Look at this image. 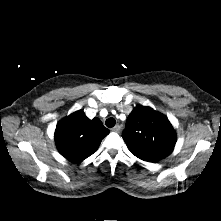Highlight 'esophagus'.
<instances>
[{"label":"esophagus","mask_w":221,"mask_h":221,"mask_svg":"<svg viewBox=\"0 0 221 221\" xmlns=\"http://www.w3.org/2000/svg\"><path fill=\"white\" fill-rule=\"evenodd\" d=\"M120 130H121V126L120 125H116V126H114L112 128V131H114V132H120Z\"/></svg>","instance_id":"1"}]
</instances>
